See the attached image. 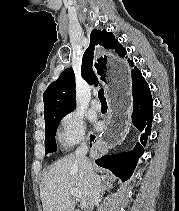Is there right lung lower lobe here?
Segmentation results:
<instances>
[{
  "label": "right lung lower lobe",
  "mask_w": 179,
  "mask_h": 211,
  "mask_svg": "<svg viewBox=\"0 0 179 211\" xmlns=\"http://www.w3.org/2000/svg\"><path fill=\"white\" fill-rule=\"evenodd\" d=\"M132 97L133 124L139 131H144L140 137L141 144L137 143L134 150L130 152L102 156L95 161L97 165L112 171L122 181L131 177L138 162V157L144 152L143 146L146 145L147 136L151 133L153 120V100L150 89L137 68L132 72ZM94 138L95 136H91L90 141H93Z\"/></svg>",
  "instance_id": "1"
}]
</instances>
